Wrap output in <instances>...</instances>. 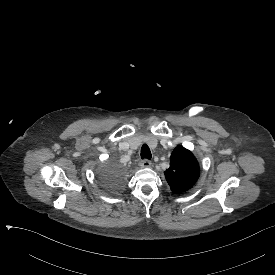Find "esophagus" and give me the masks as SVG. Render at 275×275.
<instances>
[{"instance_id":"obj_1","label":"esophagus","mask_w":275,"mask_h":275,"mask_svg":"<svg viewBox=\"0 0 275 275\" xmlns=\"http://www.w3.org/2000/svg\"><path fill=\"white\" fill-rule=\"evenodd\" d=\"M139 166L141 168H149L151 166V162L147 159H144V160L139 162Z\"/></svg>"}]
</instances>
